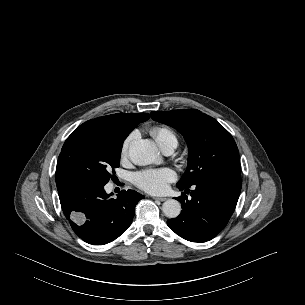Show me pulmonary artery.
<instances>
[{
    "mask_svg": "<svg viewBox=\"0 0 305 305\" xmlns=\"http://www.w3.org/2000/svg\"><path fill=\"white\" fill-rule=\"evenodd\" d=\"M174 149H175V146L171 145V146H167V147L163 148L162 150L165 154L169 155V154H172Z\"/></svg>",
    "mask_w": 305,
    "mask_h": 305,
    "instance_id": "1",
    "label": "pulmonary artery"
}]
</instances>
